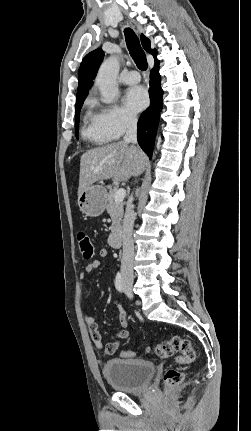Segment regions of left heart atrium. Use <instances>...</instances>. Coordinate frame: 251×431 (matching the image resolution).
Segmentation results:
<instances>
[{"mask_svg":"<svg viewBox=\"0 0 251 431\" xmlns=\"http://www.w3.org/2000/svg\"><path fill=\"white\" fill-rule=\"evenodd\" d=\"M124 103L133 112L143 110L148 104V95L142 86L130 87L124 96Z\"/></svg>","mask_w":251,"mask_h":431,"instance_id":"obj_1","label":"left heart atrium"}]
</instances>
